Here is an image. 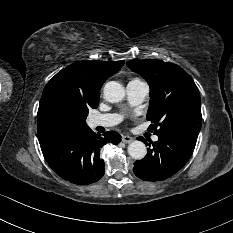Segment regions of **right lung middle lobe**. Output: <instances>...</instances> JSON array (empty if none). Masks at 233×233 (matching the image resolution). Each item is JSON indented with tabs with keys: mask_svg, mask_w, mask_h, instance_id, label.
<instances>
[{
	"mask_svg": "<svg viewBox=\"0 0 233 233\" xmlns=\"http://www.w3.org/2000/svg\"><path fill=\"white\" fill-rule=\"evenodd\" d=\"M97 104H88L61 89H51L42 95L38 109L37 129H76L86 127L88 109Z\"/></svg>",
	"mask_w": 233,
	"mask_h": 233,
	"instance_id": "dd1d6c3e",
	"label": "right lung middle lobe"
}]
</instances>
